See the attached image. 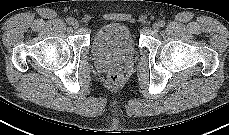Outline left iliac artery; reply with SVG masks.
Wrapping results in <instances>:
<instances>
[{
  "instance_id": "obj_1",
  "label": "left iliac artery",
  "mask_w": 229,
  "mask_h": 135,
  "mask_svg": "<svg viewBox=\"0 0 229 135\" xmlns=\"http://www.w3.org/2000/svg\"><path fill=\"white\" fill-rule=\"evenodd\" d=\"M159 24H160L161 27H163L165 25V22L164 21H160Z\"/></svg>"
}]
</instances>
